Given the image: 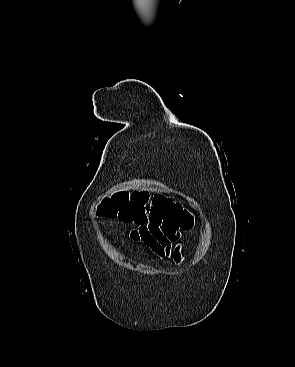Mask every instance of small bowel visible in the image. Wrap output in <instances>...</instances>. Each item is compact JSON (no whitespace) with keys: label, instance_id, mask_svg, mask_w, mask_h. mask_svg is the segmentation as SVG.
<instances>
[{"label":"small bowel","instance_id":"1","mask_svg":"<svg viewBox=\"0 0 295 367\" xmlns=\"http://www.w3.org/2000/svg\"><path fill=\"white\" fill-rule=\"evenodd\" d=\"M130 238L150 249L158 258L172 259L175 263L182 261L181 246L179 244L180 226L170 221L135 223Z\"/></svg>","mask_w":295,"mask_h":367}]
</instances>
